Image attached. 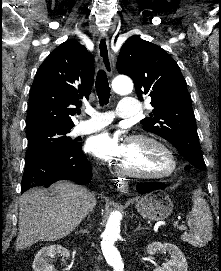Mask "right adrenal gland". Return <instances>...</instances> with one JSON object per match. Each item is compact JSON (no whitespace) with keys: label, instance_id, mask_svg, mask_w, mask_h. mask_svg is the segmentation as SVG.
<instances>
[{"label":"right adrenal gland","instance_id":"2a0ac1e0","mask_svg":"<svg viewBox=\"0 0 221 271\" xmlns=\"http://www.w3.org/2000/svg\"><path fill=\"white\" fill-rule=\"evenodd\" d=\"M89 229H91V223H88L87 229H81V231H84V233H86V231H89Z\"/></svg>","mask_w":221,"mask_h":271}]
</instances>
